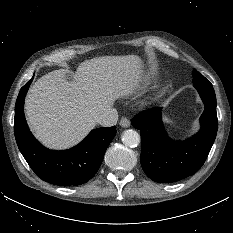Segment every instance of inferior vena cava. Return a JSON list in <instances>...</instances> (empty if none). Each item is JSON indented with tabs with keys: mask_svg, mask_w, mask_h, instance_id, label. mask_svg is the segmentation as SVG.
Listing matches in <instances>:
<instances>
[{
	"mask_svg": "<svg viewBox=\"0 0 233 233\" xmlns=\"http://www.w3.org/2000/svg\"><path fill=\"white\" fill-rule=\"evenodd\" d=\"M117 120H118L117 110L114 108H109L97 118V123L104 127H110L115 125L117 123Z\"/></svg>",
	"mask_w": 233,
	"mask_h": 233,
	"instance_id": "inferior-vena-cava-1",
	"label": "inferior vena cava"
}]
</instances>
